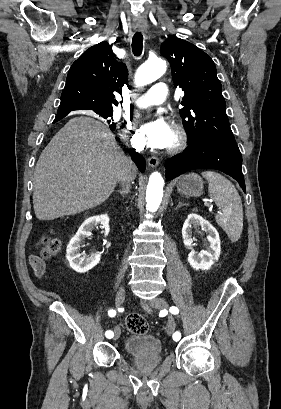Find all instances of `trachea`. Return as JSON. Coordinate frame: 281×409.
<instances>
[{
	"label": "trachea",
	"mask_w": 281,
	"mask_h": 409,
	"mask_svg": "<svg viewBox=\"0 0 281 409\" xmlns=\"http://www.w3.org/2000/svg\"><path fill=\"white\" fill-rule=\"evenodd\" d=\"M131 47H132L133 54L136 57H139V55H141L142 49H143V36H142V33L136 32L133 35Z\"/></svg>",
	"instance_id": "3493384b"
}]
</instances>
